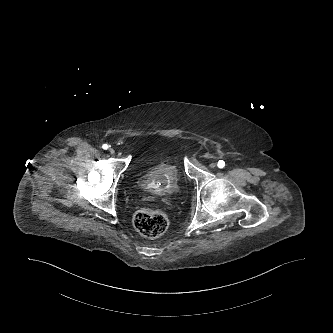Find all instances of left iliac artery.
<instances>
[{
  "label": "left iliac artery",
  "instance_id": "obj_1",
  "mask_svg": "<svg viewBox=\"0 0 333 333\" xmlns=\"http://www.w3.org/2000/svg\"><path fill=\"white\" fill-rule=\"evenodd\" d=\"M217 166H218L220 169H222V168H224V166H225V162H224L223 160H219L218 163H217Z\"/></svg>",
  "mask_w": 333,
  "mask_h": 333
}]
</instances>
